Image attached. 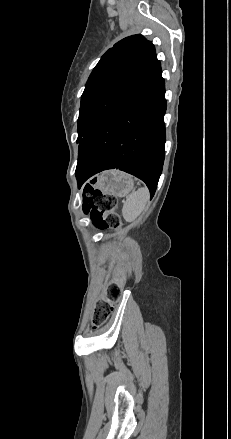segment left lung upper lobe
Listing matches in <instances>:
<instances>
[{
	"label": "left lung upper lobe",
	"instance_id": "1",
	"mask_svg": "<svg viewBox=\"0 0 231 439\" xmlns=\"http://www.w3.org/2000/svg\"><path fill=\"white\" fill-rule=\"evenodd\" d=\"M159 67L154 45L142 35L126 37L110 48L93 69L81 96L77 142Z\"/></svg>",
	"mask_w": 231,
	"mask_h": 439
}]
</instances>
